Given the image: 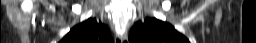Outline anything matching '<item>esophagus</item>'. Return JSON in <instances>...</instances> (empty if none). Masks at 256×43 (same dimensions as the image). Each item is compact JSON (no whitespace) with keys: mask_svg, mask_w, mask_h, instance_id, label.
Returning <instances> with one entry per match:
<instances>
[{"mask_svg":"<svg viewBox=\"0 0 256 43\" xmlns=\"http://www.w3.org/2000/svg\"><path fill=\"white\" fill-rule=\"evenodd\" d=\"M115 43H128L127 33H125L123 37L117 38V40H115Z\"/></svg>","mask_w":256,"mask_h":43,"instance_id":"34e87169","label":"esophagus"}]
</instances>
